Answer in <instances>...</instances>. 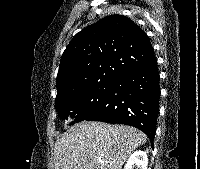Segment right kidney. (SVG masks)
<instances>
[{
  "label": "right kidney",
  "mask_w": 200,
  "mask_h": 169,
  "mask_svg": "<svg viewBox=\"0 0 200 169\" xmlns=\"http://www.w3.org/2000/svg\"><path fill=\"white\" fill-rule=\"evenodd\" d=\"M148 158L144 151H135L127 160L124 169H148Z\"/></svg>",
  "instance_id": "obj_1"
}]
</instances>
